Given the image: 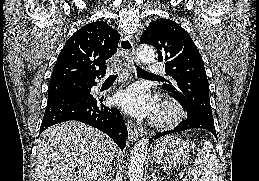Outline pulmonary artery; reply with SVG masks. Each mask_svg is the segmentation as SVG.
<instances>
[{"label": "pulmonary artery", "instance_id": "e3ab8cb5", "mask_svg": "<svg viewBox=\"0 0 259 181\" xmlns=\"http://www.w3.org/2000/svg\"><path fill=\"white\" fill-rule=\"evenodd\" d=\"M151 74H163L165 72L164 66L159 64H151L149 67Z\"/></svg>", "mask_w": 259, "mask_h": 181}]
</instances>
